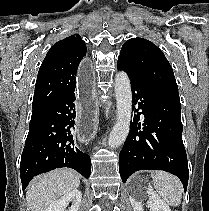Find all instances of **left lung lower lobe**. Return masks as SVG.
<instances>
[{
  "label": "left lung lower lobe",
  "instance_id": "left-lung-lower-lobe-1",
  "mask_svg": "<svg viewBox=\"0 0 209 211\" xmlns=\"http://www.w3.org/2000/svg\"><path fill=\"white\" fill-rule=\"evenodd\" d=\"M117 68L127 72L131 81L135 112L130 132L119 155V171L125 183L139 170H163L188 184V162L182 141L181 103L179 95L152 87L134 75L124 63ZM138 105V109H135ZM143 114L144 123L139 122Z\"/></svg>",
  "mask_w": 209,
  "mask_h": 211
}]
</instances>
